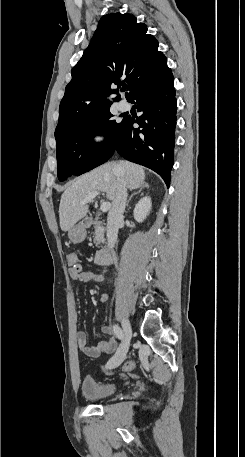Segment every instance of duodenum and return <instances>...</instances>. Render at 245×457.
Here are the masks:
<instances>
[{"label": "duodenum", "instance_id": "obj_1", "mask_svg": "<svg viewBox=\"0 0 245 457\" xmlns=\"http://www.w3.org/2000/svg\"><path fill=\"white\" fill-rule=\"evenodd\" d=\"M115 260V255L112 251L108 249L99 250L95 255V262L98 265L104 266L113 263Z\"/></svg>", "mask_w": 245, "mask_h": 457}]
</instances>
